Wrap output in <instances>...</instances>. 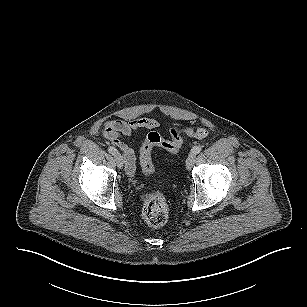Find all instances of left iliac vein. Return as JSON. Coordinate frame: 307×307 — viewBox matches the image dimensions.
Listing matches in <instances>:
<instances>
[{
    "label": "left iliac vein",
    "mask_w": 307,
    "mask_h": 307,
    "mask_svg": "<svg viewBox=\"0 0 307 307\" xmlns=\"http://www.w3.org/2000/svg\"><path fill=\"white\" fill-rule=\"evenodd\" d=\"M194 162H195V154L191 152L188 155L187 160H186V168H187V170H191L193 168Z\"/></svg>",
    "instance_id": "left-iliac-vein-1"
}]
</instances>
